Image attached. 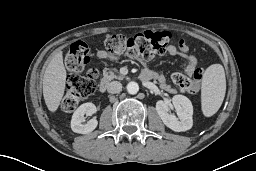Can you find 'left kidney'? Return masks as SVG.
Returning a JSON list of instances; mask_svg holds the SVG:
<instances>
[{
	"mask_svg": "<svg viewBox=\"0 0 256 171\" xmlns=\"http://www.w3.org/2000/svg\"><path fill=\"white\" fill-rule=\"evenodd\" d=\"M177 117L171 113L169 103L159 100L156 102V111L163 123L175 132H183L192 128L193 106L184 95H175L172 98Z\"/></svg>",
	"mask_w": 256,
	"mask_h": 171,
	"instance_id": "obj_1",
	"label": "left kidney"
}]
</instances>
